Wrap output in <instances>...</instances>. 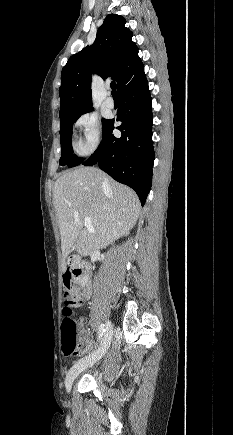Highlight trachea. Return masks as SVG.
Listing matches in <instances>:
<instances>
[{
	"label": "trachea",
	"mask_w": 233,
	"mask_h": 435,
	"mask_svg": "<svg viewBox=\"0 0 233 435\" xmlns=\"http://www.w3.org/2000/svg\"><path fill=\"white\" fill-rule=\"evenodd\" d=\"M110 86H111V89H112V94H113V95H117V92H116V84H115V82L112 81L111 84H110Z\"/></svg>",
	"instance_id": "3493384b"
}]
</instances>
